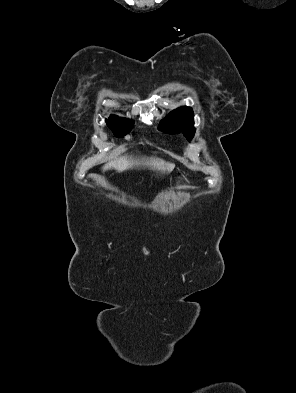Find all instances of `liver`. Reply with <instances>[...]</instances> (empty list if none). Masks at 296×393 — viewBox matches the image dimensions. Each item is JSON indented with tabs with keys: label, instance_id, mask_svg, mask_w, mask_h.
Wrapping results in <instances>:
<instances>
[{
	"label": "liver",
	"instance_id": "6515ba94",
	"mask_svg": "<svg viewBox=\"0 0 296 393\" xmlns=\"http://www.w3.org/2000/svg\"><path fill=\"white\" fill-rule=\"evenodd\" d=\"M144 166L152 170L161 171L163 173H169L175 167L173 163H167L164 160L157 157H143L133 158L132 156H122L116 160L110 161L103 166V170L115 169L118 172H123L133 167Z\"/></svg>",
	"mask_w": 296,
	"mask_h": 393
}]
</instances>
